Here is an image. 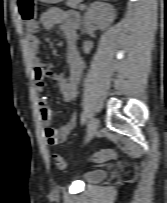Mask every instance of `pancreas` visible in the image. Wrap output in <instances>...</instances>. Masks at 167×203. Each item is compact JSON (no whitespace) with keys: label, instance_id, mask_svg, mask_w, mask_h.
Here are the masks:
<instances>
[{"label":"pancreas","instance_id":"pancreas-1","mask_svg":"<svg viewBox=\"0 0 167 203\" xmlns=\"http://www.w3.org/2000/svg\"><path fill=\"white\" fill-rule=\"evenodd\" d=\"M83 0H67V6L73 8V9H80L83 10L84 6L80 4Z\"/></svg>","mask_w":167,"mask_h":203}]
</instances>
